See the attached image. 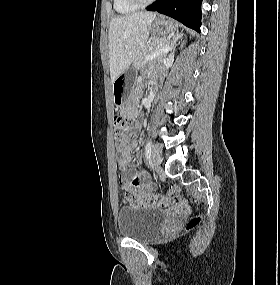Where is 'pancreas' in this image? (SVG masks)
Returning a JSON list of instances; mask_svg holds the SVG:
<instances>
[{
	"label": "pancreas",
	"instance_id": "obj_1",
	"mask_svg": "<svg viewBox=\"0 0 280 285\" xmlns=\"http://www.w3.org/2000/svg\"><path fill=\"white\" fill-rule=\"evenodd\" d=\"M163 46H168V40L165 38H157L153 41L149 42L147 45L143 47L141 52L138 54V56L134 59V67L136 69L141 68L145 64V57L151 53H154L158 50H160ZM166 56V53H161L156 58H163Z\"/></svg>",
	"mask_w": 280,
	"mask_h": 285
}]
</instances>
